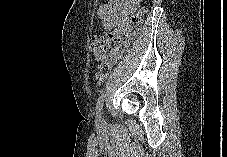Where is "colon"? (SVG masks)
Here are the masks:
<instances>
[{"mask_svg": "<svg viewBox=\"0 0 227 157\" xmlns=\"http://www.w3.org/2000/svg\"><path fill=\"white\" fill-rule=\"evenodd\" d=\"M145 12L146 8L140 6L138 12L132 16L123 36L115 42L113 47H110L111 36L108 34L96 35L91 39L90 51L96 59L102 61L96 74L98 82H104L108 78L114 65L128 51L130 44L139 33Z\"/></svg>", "mask_w": 227, "mask_h": 157, "instance_id": "obj_1", "label": "colon"}]
</instances>
